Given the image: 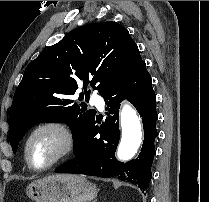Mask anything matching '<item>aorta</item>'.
Instances as JSON below:
<instances>
[{
  "mask_svg": "<svg viewBox=\"0 0 209 202\" xmlns=\"http://www.w3.org/2000/svg\"><path fill=\"white\" fill-rule=\"evenodd\" d=\"M121 140L117 149V158L121 161L132 159L142 142V125L136 110L128 103L120 112Z\"/></svg>",
  "mask_w": 209,
  "mask_h": 202,
  "instance_id": "1",
  "label": "aorta"
}]
</instances>
